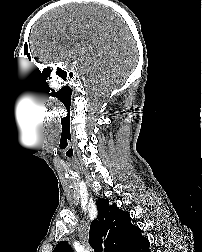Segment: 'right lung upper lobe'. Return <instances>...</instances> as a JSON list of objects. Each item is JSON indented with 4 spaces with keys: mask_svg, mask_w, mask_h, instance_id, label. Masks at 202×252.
Instances as JSON below:
<instances>
[{
    "mask_svg": "<svg viewBox=\"0 0 202 252\" xmlns=\"http://www.w3.org/2000/svg\"><path fill=\"white\" fill-rule=\"evenodd\" d=\"M97 218L91 222L89 242L96 252H136L148 242L139 227L131 223L128 212L106 199L97 201ZM53 252H73L67 241L60 242Z\"/></svg>",
    "mask_w": 202,
    "mask_h": 252,
    "instance_id": "1",
    "label": "right lung upper lobe"
}]
</instances>
